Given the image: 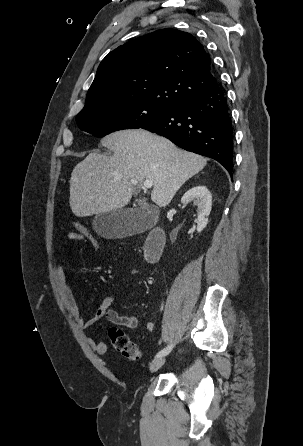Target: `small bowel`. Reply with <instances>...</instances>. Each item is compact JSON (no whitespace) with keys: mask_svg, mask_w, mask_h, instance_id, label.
Here are the masks:
<instances>
[{"mask_svg":"<svg viewBox=\"0 0 303 446\" xmlns=\"http://www.w3.org/2000/svg\"><path fill=\"white\" fill-rule=\"evenodd\" d=\"M67 240L69 242L78 241L83 243L85 246H87L89 249L94 250L92 240L83 236L78 235L75 232H71L67 236ZM57 278L59 282V286L62 292V296L64 299V302L66 304L67 309L70 312L71 317L76 322V324L81 328H86L88 326H91L101 320L103 317H105L108 321L111 323L126 327L129 329H136L138 326V319L135 316H129V315H121L118 313L114 308L113 304L117 302L118 298L115 296H107L104 298V300L101 302V304L98 306L95 314L89 319L85 320L79 305L77 303V300L74 296V293L72 291V288L70 286L68 277L64 271V268L62 265H58L57 269ZM147 330L153 331L155 328V323L150 321L146 325ZM88 343L91 346V348L96 351L98 354H105L107 351V345L104 342L96 341L95 339L89 337Z\"/></svg>","mask_w":303,"mask_h":446,"instance_id":"1","label":"small bowel"}]
</instances>
